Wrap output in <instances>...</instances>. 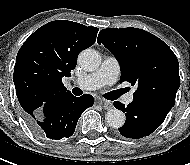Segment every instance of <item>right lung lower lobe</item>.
I'll use <instances>...</instances> for the list:
<instances>
[{
  "label": "right lung lower lobe",
  "instance_id": "obj_1",
  "mask_svg": "<svg viewBox=\"0 0 190 165\" xmlns=\"http://www.w3.org/2000/svg\"><path fill=\"white\" fill-rule=\"evenodd\" d=\"M93 103L89 94L75 97L71 92L59 93L36 112L24 113V120L36 135L60 140L73 135L79 117Z\"/></svg>",
  "mask_w": 190,
  "mask_h": 165
}]
</instances>
